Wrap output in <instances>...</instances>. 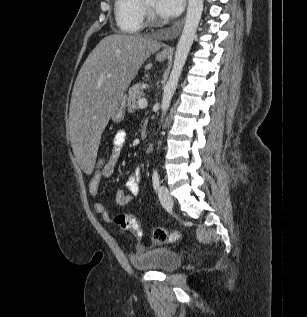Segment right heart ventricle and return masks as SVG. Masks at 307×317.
<instances>
[{
  "instance_id": "obj_1",
  "label": "right heart ventricle",
  "mask_w": 307,
  "mask_h": 317,
  "mask_svg": "<svg viewBox=\"0 0 307 317\" xmlns=\"http://www.w3.org/2000/svg\"><path fill=\"white\" fill-rule=\"evenodd\" d=\"M115 20L125 33H137L144 27V11L141 0H115Z\"/></svg>"
}]
</instances>
